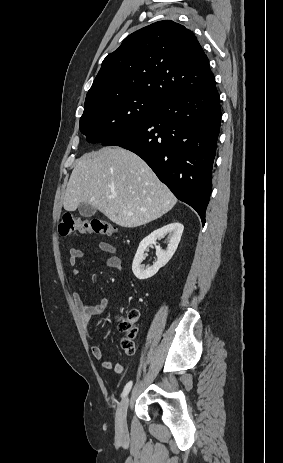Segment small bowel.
Listing matches in <instances>:
<instances>
[{
	"instance_id": "obj_1",
	"label": "small bowel",
	"mask_w": 283,
	"mask_h": 463,
	"mask_svg": "<svg viewBox=\"0 0 283 463\" xmlns=\"http://www.w3.org/2000/svg\"><path fill=\"white\" fill-rule=\"evenodd\" d=\"M101 251L109 254V257L104 262V265L119 270L122 267V260L119 256L116 255V248L114 245L108 242H99L98 244ZM84 256V251L80 248L72 247L69 250V263L71 266L76 267L77 262ZM74 273L77 274V269H74ZM73 299L77 310L80 313L82 322L85 326L91 321L92 318L102 314L109 306V301L107 299L100 300L95 305H88L81 293L75 291L73 293ZM91 353L96 360H99L103 363L104 367L107 369H112L116 374H121L124 372V365L121 363L113 365L105 356L103 349L100 346H92Z\"/></svg>"
}]
</instances>
